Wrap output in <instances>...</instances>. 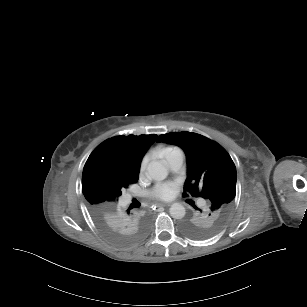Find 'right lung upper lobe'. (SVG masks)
I'll return each mask as SVG.
<instances>
[{
    "label": "right lung upper lobe",
    "instance_id": "obj_1",
    "mask_svg": "<svg viewBox=\"0 0 307 307\" xmlns=\"http://www.w3.org/2000/svg\"><path fill=\"white\" fill-rule=\"evenodd\" d=\"M156 135L116 136L89 156L82 174V192L96 223L117 235L134 238L145 233L148 218L133 200L128 208L122 192L137 183L142 157Z\"/></svg>",
    "mask_w": 307,
    "mask_h": 307
}]
</instances>
